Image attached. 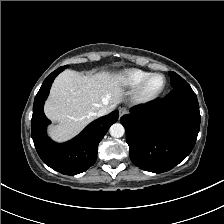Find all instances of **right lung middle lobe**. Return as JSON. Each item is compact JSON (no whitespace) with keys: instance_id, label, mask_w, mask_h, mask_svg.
<instances>
[{"instance_id":"1","label":"right lung middle lobe","mask_w":224,"mask_h":224,"mask_svg":"<svg viewBox=\"0 0 224 224\" xmlns=\"http://www.w3.org/2000/svg\"><path fill=\"white\" fill-rule=\"evenodd\" d=\"M68 67V65L64 66V68Z\"/></svg>"}]
</instances>
